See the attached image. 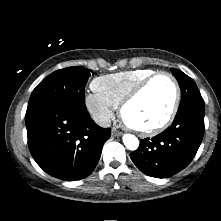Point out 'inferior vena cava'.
I'll list each match as a JSON object with an SVG mask.
<instances>
[{"mask_svg":"<svg viewBox=\"0 0 221 221\" xmlns=\"http://www.w3.org/2000/svg\"><path fill=\"white\" fill-rule=\"evenodd\" d=\"M94 121L101 127L107 128L111 126V120L108 116L105 115H94Z\"/></svg>","mask_w":221,"mask_h":221,"instance_id":"602c4592","label":"inferior vena cava"}]
</instances>
